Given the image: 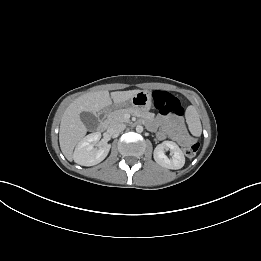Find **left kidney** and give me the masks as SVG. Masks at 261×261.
<instances>
[{
    "mask_svg": "<svg viewBox=\"0 0 261 261\" xmlns=\"http://www.w3.org/2000/svg\"><path fill=\"white\" fill-rule=\"evenodd\" d=\"M166 148L170 149L173 154L170 159L164 153V149ZM153 156L156 163L167 169H180L185 164V157L182 150L172 141H164L162 144H159L154 149Z\"/></svg>",
    "mask_w": 261,
    "mask_h": 261,
    "instance_id": "obj_1",
    "label": "left kidney"
}]
</instances>
